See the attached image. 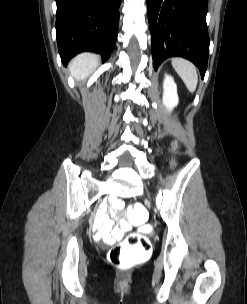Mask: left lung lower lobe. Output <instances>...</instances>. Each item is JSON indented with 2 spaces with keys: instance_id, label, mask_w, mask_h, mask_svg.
I'll use <instances>...</instances> for the list:
<instances>
[{
  "instance_id": "left-lung-lower-lobe-1",
  "label": "left lung lower lobe",
  "mask_w": 247,
  "mask_h": 304,
  "mask_svg": "<svg viewBox=\"0 0 247 304\" xmlns=\"http://www.w3.org/2000/svg\"><path fill=\"white\" fill-rule=\"evenodd\" d=\"M153 66L168 57L192 61L203 78L207 69L209 34L206 24L208 0H146Z\"/></svg>"
}]
</instances>
